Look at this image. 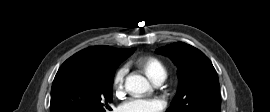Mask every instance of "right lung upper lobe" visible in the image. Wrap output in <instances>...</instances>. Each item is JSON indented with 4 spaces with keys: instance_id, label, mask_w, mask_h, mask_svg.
<instances>
[{
    "instance_id": "cb5924a9",
    "label": "right lung upper lobe",
    "mask_w": 270,
    "mask_h": 112,
    "mask_svg": "<svg viewBox=\"0 0 270 112\" xmlns=\"http://www.w3.org/2000/svg\"><path fill=\"white\" fill-rule=\"evenodd\" d=\"M129 50L130 49H118L105 45L93 46L79 51L66 61L111 66L128 53Z\"/></svg>"
}]
</instances>
